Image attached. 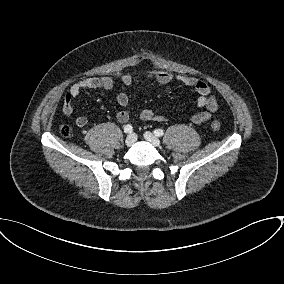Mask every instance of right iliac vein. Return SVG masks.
Masks as SVG:
<instances>
[{"label":"right iliac vein","mask_w":284,"mask_h":284,"mask_svg":"<svg viewBox=\"0 0 284 284\" xmlns=\"http://www.w3.org/2000/svg\"><path fill=\"white\" fill-rule=\"evenodd\" d=\"M136 139H137V136L135 134L133 133L129 134L127 138L125 139V144L127 146H132L135 143Z\"/></svg>","instance_id":"63e3f726"}]
</instances>
